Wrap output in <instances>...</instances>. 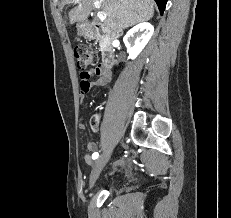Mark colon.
<instances>
[{"label": "colon", "instance_id": "colon-1", "mask_svg": "<svg viewBox=\"0 0 231 218\" xmlns=\"http://www.w3.org/2000/svg\"><path fill=\"white\" fill-rule=\"evenodd\" d=\"M73 53L80 70L90 69L91 66H96L99 63L98 53L86 45H76L73 49ZM93 122H95V120H93L92 123Z\"/></svg>", "mask_w": 231, "mask_h": 218}]
</instances>
